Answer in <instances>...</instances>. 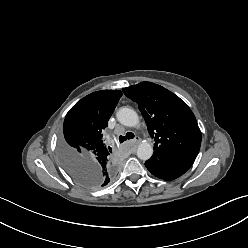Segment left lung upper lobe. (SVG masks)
Returning a JSON list of instances; mask_svg holds the SVG:
<instances>
[{
	"mask_svg": "<svg viewBox=\"0 0 248 248\" xmlns=\"http://www.w3.org/2000/svg\"><path fill=\"white\" fill-rule=\"evenodd\" d=\"M139 106L154 139V154L159 160L196 158L201 145V131L196 118L177 95L164 87L141 82L122 89Z\"/></svg>",
	"mask_w": 248,
	"mask_h": 248,
	"instance_id": "5c2ea615",
	"label": "left lung upper lobe"
}]
</instances>
